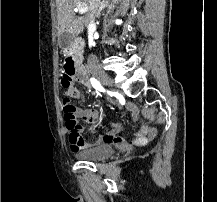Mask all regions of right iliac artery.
<instances>
[{
  "instance_id": "1",
  "label": "right iliac artery",
  "mask_w": 217,
  "mask_h": 202,
  "mask_svg": "<svg viewBox=\"0 0 217 202\" xmlns=\"http://www.w3.org/2000/svg\"><path fill=\"white\" fill-rule=\"evenodd\" d=\"M90 82H91L92 86H93L96 90L101 91V92H106V90L103 88V86L100 84V82L97 81L95 78H91V79H90ZM107 93H108L110 96H113V93H112V92L107 91ZM111 100L114 102L116 99L113 97ZM114 104L116 105L115 107H116L117 109L120 107V106L118 105L119 103H118L117 101H116Z\"/></svg>"
}]
</instances>
